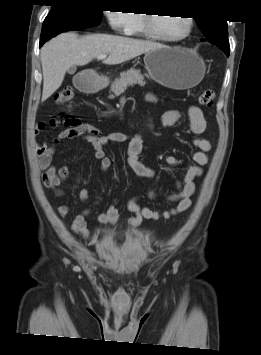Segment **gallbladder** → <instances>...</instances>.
<instances>
[{
	"instance_id": "1",
	"label": "gallbladder",
	"mask_w": 261,
	"mask_h": 355,
	"mask_svg": "<svg viewBox=\"0 0 261 355\" xmlns=\"http://www.w3.org/2000/svg\"><path fill=\"white\" fill-rule=\"evenodd\" d=\"M76 71V66H72L68 69V73L73 74Z\"/></svg>"
}]
</instances>
